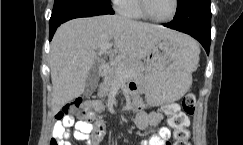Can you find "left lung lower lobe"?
<instances>
[{"label":"left lung lower lobe","mask_w":243,"mask_h":145,"mask_svg":"<svg viewBox=\"0 0 243 145\" xmlns=\"http://www.w3.org/2000/svg\"><path fill=\"white\" fill-rule=\"evenodd\" d=\"M163 25L168 28L175 29L180 32H184L191 35L202 44L207 54H209L211 35H207L203 31L192 26L190 22H188L182 17V15L176 13L174 19L170 23L163 24Z\"/></svg>","instance_id":"0a47b994"}]
</instances>
